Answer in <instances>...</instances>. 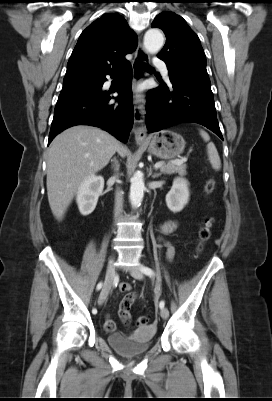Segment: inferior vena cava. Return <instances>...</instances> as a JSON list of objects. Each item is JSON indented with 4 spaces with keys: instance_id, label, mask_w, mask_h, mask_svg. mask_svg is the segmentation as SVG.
<instances>
[{
    "instance_id": "obj_1",
    "label": "inferior vena cava",
    "mask_w": 272,
    "mask_h": 401,
    "mask_svg": "<svg viewBox=\"0 0 272 401\" xmlns=\"http://www.w3.org/2000/svg\"><path fill=\"white\" fill-rule=\"evenodd\" d=\"M122 207H123V195L122 192L118 190L115 195V217H118L120 215Z\"/></svg>"
}]
</instances>
